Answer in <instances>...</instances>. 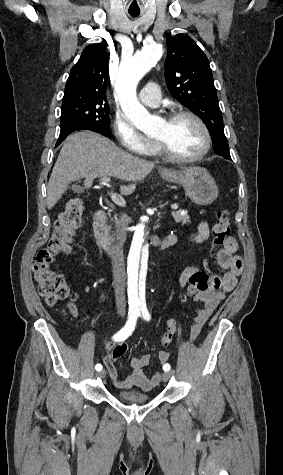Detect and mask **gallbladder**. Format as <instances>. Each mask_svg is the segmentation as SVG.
Listing matches in <instances>:
<instances>
[{
	"label": "gallbladder",
	"mask_w": 283,
	"mask_h": 475,
	"mask_svg": "<svg viewBox=\"0 0 283 475\" xmlns=\"http://www.w3.org/2000/svg\"><path fill=\"white\" fill-rule=\"evenodd\" d=\"M72 190H74V192H83L79 186H72Z\"/></svg>",
	"instance_id": "1"
}]
</instances>
